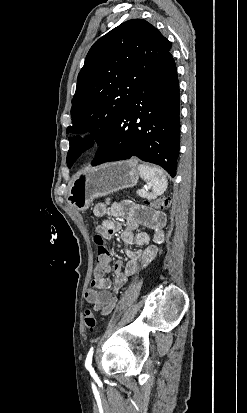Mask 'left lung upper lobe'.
<instances>
[{
  "mask_svg": "<svg viewBox=\"0 0 247 413\" xmlns=\"http://www.w3.org/2000/svg\"><path fill=\"white\" fill-rule=\"evenodd\" d=\"M172 43L143 19H132L101 37L89 50L72 100L73 125L67 133L89 132L85 141L70 138L67 165L100 145L130 99L170 51Z\"/></svg>",
  "mask_w": 247,
  "mask_h": 413,
  "instance_id": "5c2ea615",
  "label": "left lung upper lobe"
}]
</instances>
